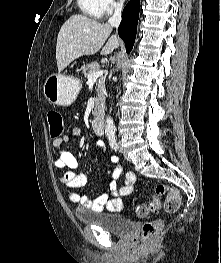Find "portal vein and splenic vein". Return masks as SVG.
I'll use <instances>...</instances> for the list:
<instances>
[{
	"mask_svg": "<svg viewBox=\"0 0 221 263\" xmlns=\"http://www.w3.org/2000/svg\"><path fill=\"white\" fill-rule=\"evenodd\" d=\"M104 71L103 70H98L90 73L88 75V83L95 82L99 77L103 76Z\"/></svg>",
	"mask_w": 221,
	"mask_h": 263,
	"instance_id": "1",
	"label": "portal vein and splenic vein"
}]
</instances>
